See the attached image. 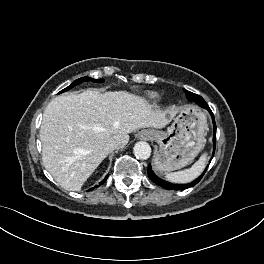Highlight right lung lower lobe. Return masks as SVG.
<instances>
[{
    "label": "right lung lower lobe",
    "mask_w": 264,
    "mask_h": 264,
    "mask_svg": "<svg viewBox=\"0 0 264 264\" xmlns=\"http://www.w3.org/2000/svg\"><path fill=\"white\" fill-rule=\"evenodd\" d=\"M107 178H108V175L99 183V185H102L107 180ZM95 187H98V185ZM94 188H91L90 190H93Z\"/></svg>",
    "instance_id": "obj_1"
}]
</instances>
